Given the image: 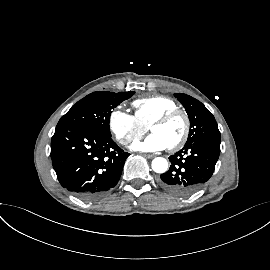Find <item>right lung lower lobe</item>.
Listing matches in <instances>:
<instances>
[{
  "label": "right lung lower lobe",
  "mask_w": 270,
  "mask_h": 270,
  "mask_svg": "<svg viewBox=\"0 0 270 270\" xmlns=\"http://www.w3.org/2000/svg\"><path fill=\"white\" fill-rule=\"evenodd\" d=\"M128 156L111 137L86 127L56 128L51 140V159L60 184L86 200L116 186Z\"/></svg>",
  "instance_id": "right-lung-lower-lobe-1"
}]
</instances>
